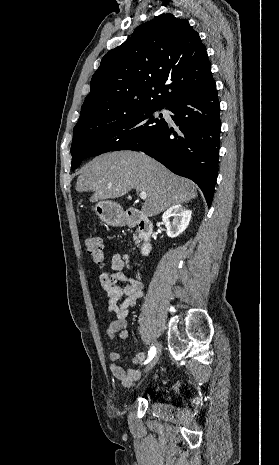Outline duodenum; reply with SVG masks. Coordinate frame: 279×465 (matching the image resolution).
<instances>
[{
	"label": "duodenum",
	"instance_id": "1",
	"mask_svg": "<svg viewBox=\"0 0 279 465\" xmlns=\"http://www.w3.org/2000/svg\"><path fill=\"white\" fill-rule=\"evenodd\" d=\"M124 223L128 226L137 227L140 239V251L142 255H148L151 251L152 222L137 211H128L125 215Z\"/></svg>",
	"mask_w": 279,
	"mask_h": 465
}]
</instances>
